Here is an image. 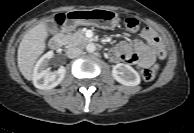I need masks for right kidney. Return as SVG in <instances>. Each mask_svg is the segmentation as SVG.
<instances>
[{
	"mask_svg": "<svg viewBox=\"0 0 194 133\" xmlns=\"http://www.w3.org/2000/svg\"><path fill=\"white\" fill-rule=\"evenodd\" d=\"M53 53L47 52L36 63L33 71V84L40 90H48L56 87L65 77L66 68L61 66L57 71L50 72L48 64Z\"/></svg>",
	"mask_w": 194,
	"mask_h": 133,
	"instance_id": "1",
	"label": "right kidney"
}]
</instances>
